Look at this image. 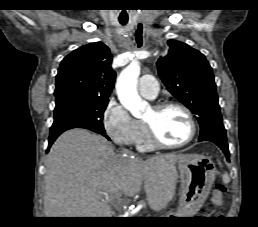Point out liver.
<instances>
[{"label": "liver", "instance_id": "obj_1", "mask_svg": "<svg viewBox=\"0 0 258 227\" xmlns=\"http://www.w3.org/2000/svg\"><path fill=\"white\" fill-rule=\"evenodd\" d=\"M185 156L124 157L100 135L68 130L47 155L45 217H109V203L122 195L134 196L143 183L150 208L159 212L175 195V164Z\"/></svg>", "mask_w": 258, "mask_h": 227}]
</instances>
